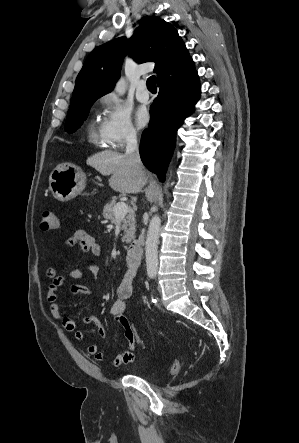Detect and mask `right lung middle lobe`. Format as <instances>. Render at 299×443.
I'll return each instance as SVG.
<instances>
[{
	"instance_id": "right-lung-middle-lobe-1",
	"label": "right lung middle lobe",
	"mask_w": 299,
	"mask_h": 443,
	"mask_svg": "<svg viewBox=\"0 0 299 443\" xmlns=\"http://www.w3.org/2000/svg\"><path fill=\"white\" fill-rule=\"evenodd\" d=\"M94 101H88L72 107L68 111L65 129L68 133L75 132L86 119L89 108L92 106Z\"/></svg>"
}]
</instances>
